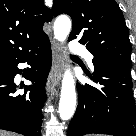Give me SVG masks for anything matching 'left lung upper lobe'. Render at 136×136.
I'll return each instance as SVG.
<instances>
[{"label": "left lung upper lobe", "mask_w": 136, "mask_h": 136, "mask_svg": "<svg viewBox=\"0 0 136 136\" xmlns=\"http://www.w3.org/2000/svg\"><path fill=\"white\" fill-rule=\"evenodd\" d=\"M52 11L72 18L69 39L79 35L94 61L131 68L128 28L115 0H54Z\"/></svg>", "instance_id": "1"}]
</instances>
